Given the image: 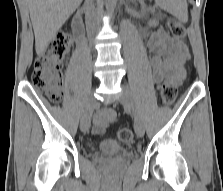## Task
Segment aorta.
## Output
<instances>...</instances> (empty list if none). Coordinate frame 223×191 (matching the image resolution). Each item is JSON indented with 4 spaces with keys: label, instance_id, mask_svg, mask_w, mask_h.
<instances>
[{
    "label": "aorta",
    "instance_id": "obj_1",
    "mask_svg": "<svg viewBox=\"0 0 223 191\" xmlns=\"http://www.w3.org/2000/svg\"><path fill=\"white\" fill-rule=\"evenodd\" d=\"M117 0H106V7L113 9L116 6Z\"/></svg>",
    "mask_w": 223,
    "mask_h": 191
}]
</instances>
